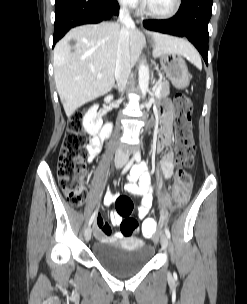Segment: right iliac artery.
Returning <instances> with one entry per match:
<instances>
[{
  "mask_svg": "<svg viewBox=\"0 0 247 304\" xmlns=\"http://www.w3.org/2000/svg\"><path fill=\"white\" fill-rule=\"evenodd\" d=\"M135 158L133 157L126 165L125 167L123 168L122 170V174H125L130 168L131 166L133 165V162H134ZM95 217H96V211L92 214L89 222H88V226H91V224L93 223V221L95 220Z\"/></svg>",
  "mask_w": 247,
  "mask_h": 304,
  "instance_id": "82829eb1",
  "label": "right iliac artery"
}]
</instances>
